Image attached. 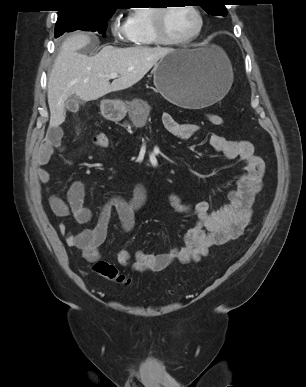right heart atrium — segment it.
I'll list each match as a JSON object with an SVG mask.
<instances>
[{"mask_svg": "<svg viewBox=\"0 0 306 387\" xmlns=\"http://www.w3.org/2000/svg\"><path fill=\"white\" fill-rule=\"evenodd\" d=\"M111 33L115 39L119 41H125L128 39V30L126 23L121 24L118 21H114L111 25Z\"/></svg>", "mask_w": 306, "mask_h": 387, "instance_id": "d8ad5b80", "label": "right heart atrium"}]
</instances>
